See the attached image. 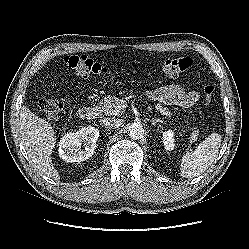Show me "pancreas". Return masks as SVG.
Here are the masks:
<instances>
[{
    "mask_svg": "<svg viewBox=\"0 0 249 249\" xmlns=\"http://www.w3.org/2000/svg\"><path fill=\"white\" fill-rule=\"evenodd\" d=\"M121 106L122 100L120 98L108 96L104 98L98 109L101 113L105 114L106 116H117L122 113ZM156 109L162 115L171 116L170 111L167 108H163V106L160 104L156 105ZM198 136L199 131L194 129L190 135V142L197 140Z\"/></svg>",
    "mask_w": 249,
    "mask_h": 249,
    "instance_id": "cf45deb5",
    "label": "pancreas"
}]
</instances>
